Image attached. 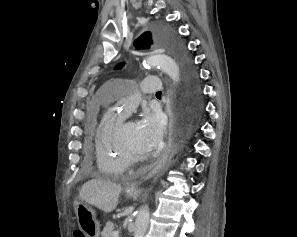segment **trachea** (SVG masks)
I'll list each match as a JSON object with an SVG mask.
<instances>
[{"instance_id":"3493384b","label":"trachea","mask_w":297,"mask_h":237,"mask_svg":"<svg viewBox=\"0 0 297 237\" xmlns=\"http://www.w3.org/2000/svg\"><path fill=\"white\" fill-rule=\"evenodd\" d=\"M161 94H162V92H161V91H159V92H157V93H156V95H161Z\"/></svg>"}]
</instances>
